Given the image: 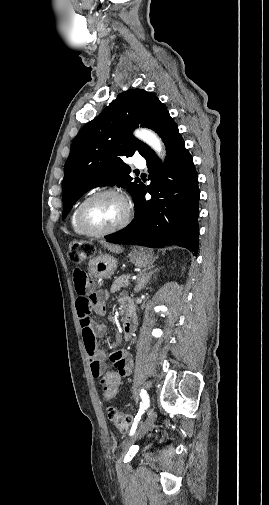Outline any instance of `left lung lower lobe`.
I'll use <instances>...</instances> for the list:
<instances>
[{"mask_svg":"<svg viewBox=\"0 0 269 505\" xmlns=\"http://www.w3.org/2000/svg\"><path fill=\"white\" fill-rule=\"evenodd\" d=\"M166 145V162L161 165L153 150L147 161L151 184H142L134 199L135 217L130 225L108 242L150 248L181 246L198 252L199 197L198 174L193 159L169 113L155 130ZM150 193L152 198L145 199Z\"/></svg>","mask_w":269,"mask_h":505,"instance_id":"left-lung-lower-lobe-1","label":"left lung lower lobe"}]
</instances>
